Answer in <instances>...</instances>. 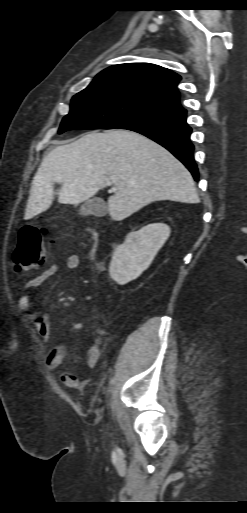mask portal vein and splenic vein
<instances>
[{"instance_id":"portal-vein-and-splenic-vein-1","label":"portal vein and splenic vein","mask_w":247,"mask_h":513,"mask_svg":"<svg viewBox=\"0 0 247 513\" xmlns=\"http://www.w3.org/2000/svg\"><path fill=\"white\" fill-rule=\"evenodd\" d=\"M108 185H111V183H108ZM111 190H112V191H116V190H117V188H116V187H112V189H111Z\"/></svg>"}]
</instances>
